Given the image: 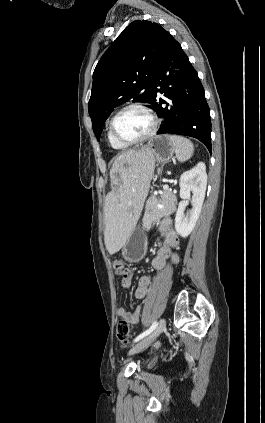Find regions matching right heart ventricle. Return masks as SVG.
Returning <instances> with one entry per match:
<instances>
[{
    "instance_id": "obj_1",
    "label": "right heart ventricle",
    "mask_w": 265,
    "mask_h": 423,
    "mask_svg": "<svg viewBox=\"0 0 265 423\" xmlns=\"http://www.w3.org/2000/svg\"><path fill=\"white\" fill-rule=\"evenodd\" d=\"M107 137H108V142H109V145H110L113 149H115V150L121 151V150H124V149H126V148L128 147L127 145H123V144L119 143L118 141H116V140L112 137V135H111V133H110V130H109V131H108V133H107Z\"/></svg>"
}]
</instances>
